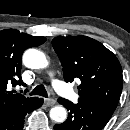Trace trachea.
<instances>
[{"instance_id":"1","label":"trachea","mask_w":130,"mask_h":130,"mask_svg":"<svg viewBox=\"0 0 130 130\" xmlns=\"http://www.w3.org/2000/svg\"><path fill=\"white\" fill-rule=\"evenodd\" d=\"M29 95H40L43 97H48V94L44 85H38L29 93Z\"/></svg>"}]
</instances>
